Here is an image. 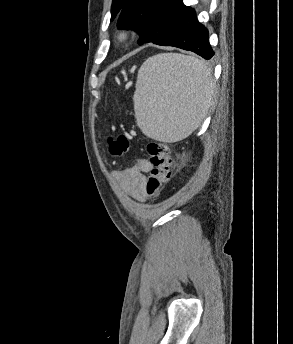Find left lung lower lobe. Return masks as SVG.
<instances>
[{
    "mask_svg": "<svg viewBox=\"0 0 293 344\" xmlns=\"http://www.w3.org/2000/svg\"><path fill=\"white\" fill-rule=\"evenodd\" d=\"M158 45L193 51L207 60L214 55L209 44L208 30L198 22L195 10L192 8L175 31Z\"/></svg>",
    "mask_w": 293,
    "mask_h": 344,
    "instance_id": "obj_1",
    "label": "left lung lower lobe"
}]
</instances>
